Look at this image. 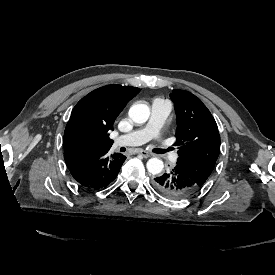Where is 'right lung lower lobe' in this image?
<instances>
[{
  "label": "right lung lower lobe",
  "mask_w": 275,
  "mask_h": 275,
  "mask_svg": "<svg viewBox=\"0 0 275 275\" xmlns=\"http://www.w3.org/2000/svg\"><path fill=\"white\" fill-rule=\"evenodd\" d=\"M110 148H82L64 153L66 165L73 178L83 187L100 189L108 186L117 176L126 157Z\"/></svg>",
  "instance_id": "98d812e1"
}]
</instances>
